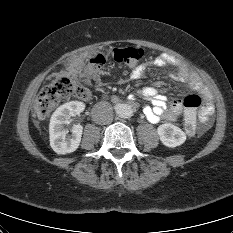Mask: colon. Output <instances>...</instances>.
Listing matches in <instances>:
<instances>
[{
  "instance_id": "colon-1",
  "label": "colon",
  "mask_w": 233,
  "mask_h": 233,
  "mask_svg": "<svg viewBox=\"0 0 233 233\" xmlns=\"http://www.w3.org/2000/svg\"><path fill=\"white\" fill-rule=\"evenodd\" d=\"M144 56V51L140 47L115 48L111 51L110 57L120 64L134 66L138 64ZM88 74L90 77L98 75L105 65V57L101 54L89 56ZM75 98L86 100L89 98V91L82 84L72 80L64 73L56 75L54 80L43 87L35 102V112L39 117L48 114L60 99ZM203 104V98L198 94H191L185 97L183 105L185 109L186 133L189 135L190 129L196 123L197 109Z\"/></svg>"
}]
</instances>
